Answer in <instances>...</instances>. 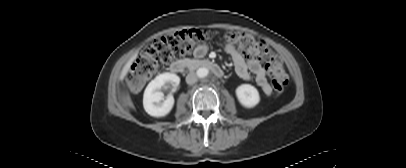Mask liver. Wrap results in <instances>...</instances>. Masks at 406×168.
I'll return each instance as SVG.
<instances>
[{
    "instance_id": "liver-1",
    "label": "liver",
    "mask_w": 406,
    "mask_h": 168,
    "mask_svg": "<svg viewBox=\"0 0 406 168\" xmlns=\"http://www.w3.org/2000/svg\"><path fill=\"white\" fill-rule=\"evenodd\" d=\"M135 59H136V55L132 56V57L129 59V61L125 64V66L123 67V69H122V71H121V74H120V77H119V79H120L121 81H123V79H124L125 76L127 75L128 71H129V69H130V67H131V65H132V63H133V61H134Z\"/></svg>"
}]
</instances>
